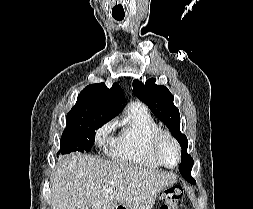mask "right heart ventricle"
<instances>
[{
  "instance_id": "1",
  "label": "right heart ventricle",
  "mask_w": 253,
  "mask_h": 209,
  "mask_svg": "<svg viewBox=\"0 0 253 209\" xmlns=\"http://www.w3.org/2000/svg\"><path fill=\"white\" fill-rule=\"evenodd\" d=\"M159 129L146 106L139 102L131 103L117 136L110 143V154L123 162L159 168L160 165L148 153L150 139Z\"/></svg>"
}]
</instances>
